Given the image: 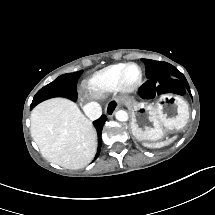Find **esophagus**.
<instances>
[{"mask_svg": "<svg viewBox=\"0 0 215 215\" xmlns=\"http://www.w3.org/2000/svg\"><path fill=\"white\" fill-rule=\"evenodd\" d=\"M120 103L117 99H112L106 106V114L108 117H112L115 111L119 108Z\"/></svg>", "mask_w": 215, "mask_h": 215, "instance_id": "esophagus-1", "label": "esophagus"}]
</instances>
